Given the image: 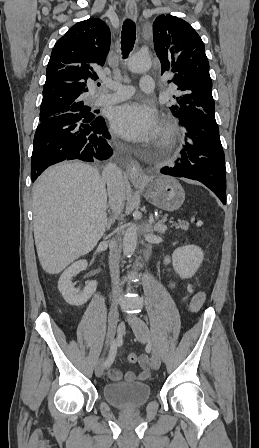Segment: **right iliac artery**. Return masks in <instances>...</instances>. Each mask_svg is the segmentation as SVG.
<instances>
[{
	"label": "right iliac artery",
	"instance_id": "82829eb1",
	"mask_svg": "<svg viewBox=\"0 0 259 448\" xmlns=\"http://www.w3.org/2000/svg\"><path fill=\"white\" fill-rule=\"evenodd\" d=\"M116 352H117V342L116 340H113L110 346L108 357L104 363L105 368H109L112 365L116 356Z\"/></svg>",
	"mask_w": 259,
	"mask_h": 448
}]
</instances>
